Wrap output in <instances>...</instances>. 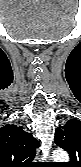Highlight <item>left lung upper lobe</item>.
Returning a JSON list of instances; mask_svg holds the SVG:
<instances>
[{"label": "left lung upper lobe", "mask_w": 81, "mask_h": 167, "mask_svg": "<svg viewBox=\"0 0 81 167\" xmlns=\"http://www.w3.org/2000/svg\"><path fill=\"white\" fill-rule=\"evenodd\" d=\"M55 143L66 150L70 156L68 167L80 166L81 160V121L70 119L55 131Z\"/></svg>", "instance_id": "1"}]
</instances>
